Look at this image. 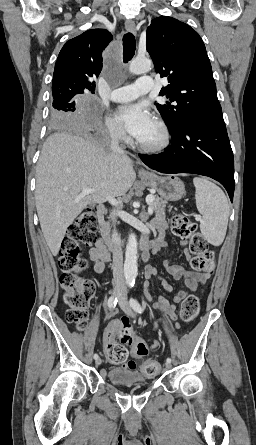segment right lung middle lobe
I'll use <instances>...</instances> for the list:
<instances>
[{"label": "right lung middle lobe", "instance_id": "obj_1", "mask_svg": "<svg viewBox=\"0 0 256 445\" xmlns=\"http://www.w3.org/2000/svg\"><path fill=\"white\" fill-rule=\"evenodd\" d=\"M82 93L66 91L53 94L50 114L51 124L56 127L73 125L77 120V101Z\"/></svg>", "mask_w": 256, "mask_h": 445}]
</instances>
